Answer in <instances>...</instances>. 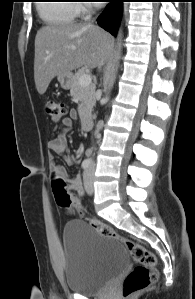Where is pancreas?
Masks as SVG:
<instances>
[{"label": "pancreas", "instance_id": "obj_1", "mask_svg": "<svg viewBox=\"0 0 195 299\" xmlns=\"http://www.w3.org/2000/svg\"><path fill=\"white\" fill-rule=\"evenodd\" d=\"M84 74H86V69H79L73 77V83L70 88L71 96L80 101L78 112L81 118L88 115L95 105V85L81 86L79 83L80 77Z\"/></svg>", "mask_w": 195, "mask_h": 299}]
</instances>
